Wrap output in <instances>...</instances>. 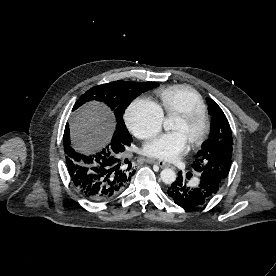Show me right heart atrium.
I'll list each match as a JSON object with an SVG mask.
<instances>
[{
    "instance_id": "obj_1",
    "label": "right heart atrium",
    "mask_w": 276,
    "mask_h": 276,
    "mask_svg": "<svg viewBox=\"0 0 276 276\" xmlns=\"http://www.w3.org/2000/svg\"><path fill=\"white\" fill-rule=\"evenodd\" d=\"M163 112L154 101L139 97L127 108L125 121L133 134L143 140L158 134L163 125Z\"/></svg>"
}]
</instances>
